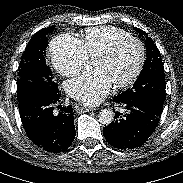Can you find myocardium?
Instances as JSON below:
<instances>
[{"label":"myocardium","mask_w":183,"mask_h":183,"mask_svg":"<svg viewBox=\"0 0 183 183\" xmlns=\"http://www.w3.org/2000/svg\"><path fill=\"white\" fill-rule=\"evenodd\" d=\"M129 42H133L136 43L139 48H140V58H139V62L135 68V70L133 71V73L125 80L115 83L113 84V87L116 89H121V88H125L128 87L130 85H132L140 76L144 65H145V61H146V48L145 45L143 44V42L135 37H127V38H123L120 40H117L116 42H114L113 44H111L109 47H107L105 50L101 51L100 53H98L94 58H101V59H107L112 57L123 45L129 43Z\"/></svg>","instance_id":"f54148a6"}]
</instances>
